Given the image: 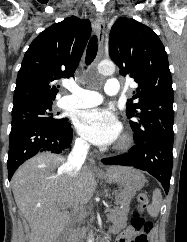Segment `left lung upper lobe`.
I'll list each match as a JSON object with an SVG mask.
<instances>
[{"instance_id": "left-lung-upper-lobe-1", "label": "left lung upper lobe", "mask_w": 187, "mask_h": 242, "mask_svg": "<svg viewBox=\"0 0 187 242\" xmlns=\"http://www.w3.org/2000/svg\"><path fill=\"white\" fill-rule=\"evenodd\" d=\"M110 57L122 76L138 84L127 100L126 113L136 143L173 137L172 77L164 46L152 29L134 19L121 17L109 35Z\"/></svg>"}]
</instances>
